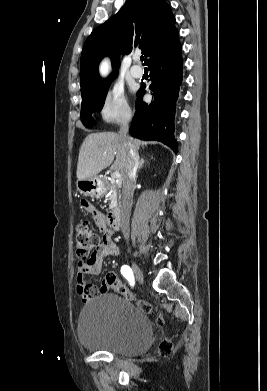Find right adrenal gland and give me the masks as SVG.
I'll return each mask as SVG.
<instances>
[{
  "instance_id": "1",
  "label": "right adrenal gland",
  "mask_w": 267,
  "mask_h": 391,
  "mask_svg": "<svg viewBox=\"0 0 267 391\" xmlns=\"http://www.w3.org/2000/svg\"><path fill=\"white\" fill-rule=\"evenodd\" d=\"M144 163H145L144 159L141 158L139 161L138 170H140L143 167Z\"/></svg>"
}]
</instances>
